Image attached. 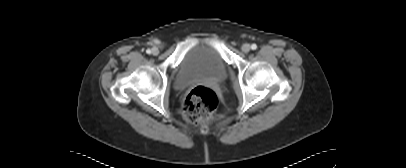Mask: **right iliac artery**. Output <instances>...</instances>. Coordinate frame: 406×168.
<instances>
[{
    "instance_id": "82829eb1",
    "label": "right iliac artery",
    "mask_w": 406,
    "mask_h": 168,
    "mask_svg": "<svg viewBox=\"0 0 406 168\" xmlns=\"http://www.w3.org/2000/svg\"><path fill=\"white\" fill-rule=\"evenodd\" d=\"M146 53H147V54H150V53H151V50H150V49H147V50H146Z\"/></svg>"
}]
</instances>
